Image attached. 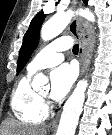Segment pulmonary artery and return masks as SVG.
<instances>
[{
    "mask_svg": "<svg viewBox=\"0 0 112 135\" xmlns=\"http://www.w3.org/2000/svg\"><path fill=\"white\" fill-rule=\"evenodd\" d=\"M72 45L69 37L55 39L44 46L27 66L28 72L35 73L41 69L56 66L63 60V51Z\"/></svg>",
    "mask_w": 112,
    "mask_h": 135,
    "instance_id": "obj_1",
    "label": "pulmonary artery"
}]
</instances>
